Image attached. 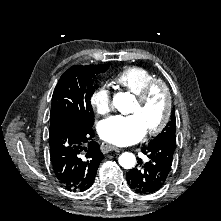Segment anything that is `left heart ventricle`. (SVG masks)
Here are the masks:
<instances>
[{
    "label": "left heart ventricle",
    "mask_w": 221,
    "mask_h": 221,
    "mask_svg": "<svg viewBox=\"0 0 221 221\" xmlns=\"http://www.w3.org/2000/svg\"><path fill=\"white\" fill-rule=\"evenodd\" d=\"M165 112V94L162 90H156L144 107H140L137 101L128 113L139 118L146 131L156 126Z\"/></svg>",
    "instance_id": "obj_1"
}]
</instances>
